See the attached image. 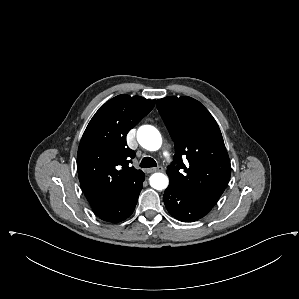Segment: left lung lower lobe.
I'll return each mask as SVG.
<instances>
[{
	"mask_svg": "<svg viewBox=\"0 0 299 299\" xmlns=\"http://www.w3.org/2000/svg\"><path fill=\"white\" fill-rule=\"evenodd\" d=\"M163 199L168 212L182 222L197 221L213 208V206L171 182Z\"/></svg>",
	"mask_w": 299,
	"mask_h": 299,
	"instance_id": "left-lung-lower-lobe-1",
	"label": "left lung lower lobe"
}]
</instances>
